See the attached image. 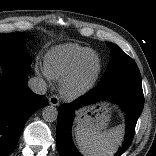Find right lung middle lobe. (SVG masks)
<instances>
[{
	"instance_id": "right-lung-middle-lobe-1",
	"label": "right lung middle lobe",
	"mask_w": 156,
	"mask_h": 156,
	"mask_svg": "<svg viewBox=\"0 0 156 156\" xmlns=\"http://www.w3.org/2000/svg\"><path fill=\"white\" fill-rule=\"evenodd\" d=\"M23 33L1 34L0 33V61L14 60L30 64L31 58L25 51Z\"/></svg>"
}]
</instances>
